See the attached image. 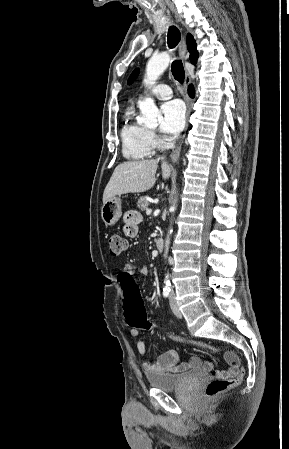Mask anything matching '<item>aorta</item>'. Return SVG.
I'll return each instance as SVG.
<instances>
[{
  "mask_svg": "<svg viewBox=\"0 0 289 449\" xmlns=\"http://www.w3.org/2000/svg\"><path fill=\"white\" fill-rule=\"evenodd\" d=\"M170 63V55L167 52L152 56L146 66V75L144 78V83L146 85H152L159 78V76L166 70ZM139 108L141 110L140 122L144 123L147 126H156L157 119L160 116L159 110L154 103V100L151 98H146L139 103ZM172 210H175V204L171 207ZM172 230H170L171 234ZM169 235L167 236L165 242V258L167 257L168 249H169ZM166 286L170 285L168 280V276L165 279Z\"/></svg>",
  "mask_w": 289,
  "mask_h": 449,
  "instance_id": "aorta-1",
  "label": "aorta"
}]
</instances>
